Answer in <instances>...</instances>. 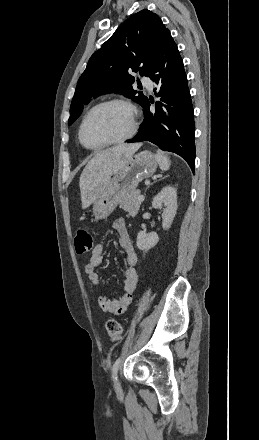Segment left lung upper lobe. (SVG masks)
Returning a JSON list of instances; mask_svg holds the SVG:
<instances>
[{"label":"left lung upper lobe","mask_w":259,"mask_h":440,"mask_svg":"<svg viewBox=\"0 0 259 440\" xmlns=\"http://www.w3.org/2000/svg\"><path fill=\"white\" fill-rule=\"evenodd\" d=\"M169 34L160 17L147 9L129 17L89 59L77 83L68 124L96 95L119 93L144 107L148 98L141 92L136 95L131 86L135 79L129 72L148 76Z\"/></svg>","instance_id":"5c2ea615"}]
</instances>
